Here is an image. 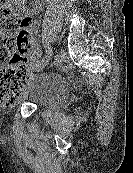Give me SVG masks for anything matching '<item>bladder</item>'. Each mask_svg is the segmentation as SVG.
<instances>
[{"label":"bladder","instance_id":"obj_1","mask_svg":"<svg viewBox=\"0 0 133 173\" xmlns=\"http://www.w3.org/2000/svg\"><path fill=\"white\" fill-rule=\"evenodd\" d=\"M68 95V85L62 76L44 72L29 81L23 101L44 111H55L66 102Z\"/></svg>","mask_w":133,"mask_h":173}]
</instances>
